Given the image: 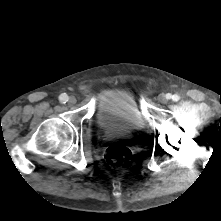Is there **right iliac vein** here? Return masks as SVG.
<instances>
[{
  "label": "right iliac vein",
  "mask_w": 221,
  "mask_h": 221,
  "mask_svg": "<svg viewBox=\"0 0 221 221\" xmlns=\"http://www.w3.org/2000/svg\"><path fill=\"white\" fill-rule=\"evenodd\" d=\"M76 98L74 97V96H71V97H69V99H68V103L70 104V105H74L75 103H76Z\"/></svg>",
  "instance_id": "63e3f726"
}]
</instances>
